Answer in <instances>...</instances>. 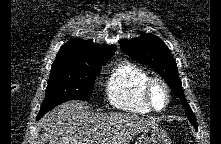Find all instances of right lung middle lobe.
Instances as JSON below:
<instances>
[{
  "label": "right lung middle lobe",
  "mask_w": 221,
  "mask_h": 144,
  "mask_svg": "<svg viewBox=\"0 0 221 144\" xmlns=\"http://www.w3.org/2000/svg\"><path fill=\"white\" fill-rule=\"evenodd\" d=\"M104 64L52 65L46 96L37 119L63 102L89 99L96 75Z\"/></svg>",
  "instance_id": "1"
}]
</instances>
